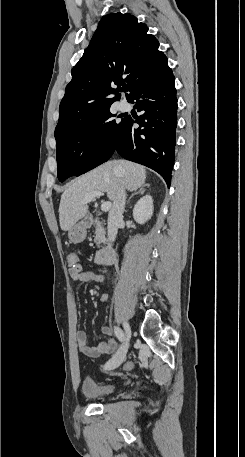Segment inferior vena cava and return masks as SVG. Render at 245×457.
<instances>
[{"instance_id": "obj_1", "label": "inferior vena cava", "mask_w": 245, "mask_h": 457, "mask_svg": "<svg viewBox=\"0 0 245 457\" xmlns=\"http://www.w3.org/2000/svg\"><path fill=\"white\" fill-rule=\"evenodd\" d=\"M114 170H119V168H114ZM120 186L119 192L117 194L116 200L113 202V206L108 214V237L110 241H115L116 235L118 233V226H120L121 222H123V212L125 206V198L126 192L125 188H123L124 180L123 178H119Z\"/></svg>"}]
</instances>
